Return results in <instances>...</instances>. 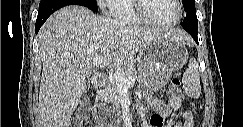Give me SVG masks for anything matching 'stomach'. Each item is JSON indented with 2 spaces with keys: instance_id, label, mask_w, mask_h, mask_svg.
Instances as JSON below:
<instances>
[{
  "instance_id": "stomach-1",
  "label": "stomach",
  "mask_w": 243,
  "mask_h": 127,
  "mask_svg": "<svg viewBox=\"0 0 243 127\" xmlns=\"http://www.w3.org/2000/svg\"><path fill=\"white\" fill-rule=\"evenodd\" d=\"M187 59V49L181 42L168 36L152 38L138 55L140 80L152 89H160Z\"/></svg>"
}]
</instances>
